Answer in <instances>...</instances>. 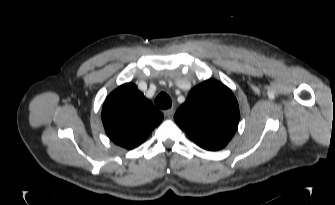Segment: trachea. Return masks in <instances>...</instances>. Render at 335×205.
Returning a JSON list of instances; mask_svg holds the SVG:
<instances>
[{"mask_svg": "<svg viewBox=\"0 0 335 205\" xmlns=\"http://www.w3.org/2000/svg\"><path fill=\"white\" fill-rule=\"evenodd\" d=\"M155 104L161 109H168L171 107L172 102L168 94L161 92L155 99Z\"/></svg>", "mask_w": 335, "mask_h": 205, "instance_id": "trachea-1", "label": "trachea"}]
</instances>
